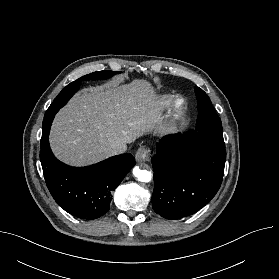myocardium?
Segmentation results:
<instances>
[{"label":"myocardium","mask_w":279,"mask_h":279,"mask_svg":"<svg viewBox=\"0 0 279 279\" xmlns=\"http://www.w3.org/2000/svg\"><path fill=\"white\" fill-rule=\"evenodd\" d=\"M186 110V103L182 98H176L169 104V116L173 119L180 118Z\"/></svg>","instance_id":"myocardium-1"}]
</instances>
